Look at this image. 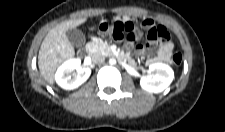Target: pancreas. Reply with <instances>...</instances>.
<instances>
[{
  "instance_id": "cf45deb5",
  "label": "pancreas",
  "mask_w": 225,
  "mask_h": 132,
  "mask_svg": "<svg viewBox=\"0 0 225 132\" xmlns=\"http://www.w3.org/2000/svg\"><path fill=\"white\" fill-rule=\"evenodd\" d=\"M87 48L92 54H100L103 56L113 55L110 46L102 40H96L88 43Z\"/></svg>"
}]
</instances>
